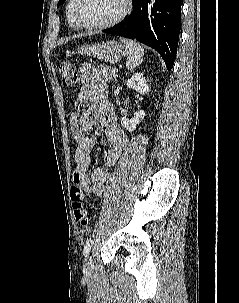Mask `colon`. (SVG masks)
Returning a JSON list of instances; mask_svg holds the SVG:
<instances>
[{"label":"colon","instance_id":"1","mask_svg":"<svg viewBox=\"0 0 239 303\" xmlns=\"http://www.w3.org/2000/svg\"><path fill=\"white\" fill-rule=\"evenodd\" d=\"M59 72L64 86H72L78 82V71L71 62H61L59 65ZM71 200L75 219L82 225H87L89 222V218L87 211L83 205V192L79 187L72 186Z\"/></svg>","mask_w":239,"mask_h":303}]
</instances>
